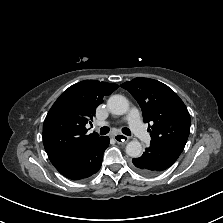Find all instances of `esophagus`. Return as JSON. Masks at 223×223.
Returning <instances> with one entry per match:
<instances>
[{
    "instance_id": "esophagus-1",
    "label": "esophagus",
    "mask_w": 223,
    "mask_h": 223,
    "mask_svg": "<svg viewBox=\"0 0 223 223\" xmlns=\"http://www.w3.org/2000/svg\"><path fill=\"white\" fill-rule=\"evenodd\" d=\"M113 138L118 142V143H127L129 141V137L123 135V134H115L113 135Z\"/></svg>"
}]
</instances>
